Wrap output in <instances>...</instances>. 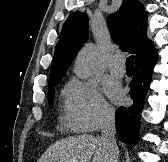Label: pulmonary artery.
Listing matches in <instances>:
<instances>
[{
    "label": "pulmonary artery",
    "mask_w": 168,
    "mask_h": 162,
    "mask_svg": "<svg viewBox=\"0 0 168 162\" xmlns=\"http://www.w3.org/2000/svg\"><path fill=\"white\" fill-rule=\"evenodd\" d=\"M108 69L111 74L122 77L125 74V66L123 65V60L120 58V55H114L108 65Z\"/></svg>",
    "instance_id": "1"
}]
</instances>
